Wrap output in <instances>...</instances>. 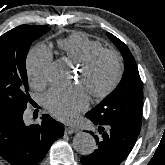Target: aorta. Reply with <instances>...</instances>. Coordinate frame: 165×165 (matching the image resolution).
Segmentation results:
<instances>
[{
    "label": "aorta",
    "mask_w": 165,
    "mask_h": 165,
    "mask_svg": "<svg viewBox=\"0 0 165 165\" xmlns=\"http://www.w3.org/2000/svg\"><path fill=\"white\" fill-rule=\"evenodd\" d=\"M47 74L52 82L63 84L65 83L66 67L60 62H55L50 66ZM73 147L78 153L89 155L94 152L96 141L91 134L87 132H78L73 138Z\"/></svg>",
    "instance_id": "obj_1"
}]
</instances>
